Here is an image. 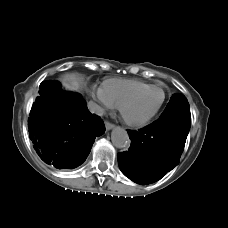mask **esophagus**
<instances>
[{
	"label": "esophagus",
	"instance_id": "obj_1",
	"mask_svg": "<svg viewBox=\"0 0 228 228\" xmlns=\"http://www.w3.org/2000/svg\"><path fill=\"white\" fill-rule=\"evenodd\" d=\"M105 127H106V130H111V129H113L115 127V125L113 123H111V122L106 121L105 122Z\"/></svg>",
	"mask_w": 228,
	"mask_h": 228
}]
</instances>
